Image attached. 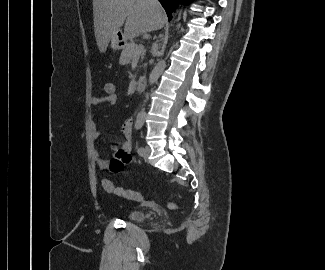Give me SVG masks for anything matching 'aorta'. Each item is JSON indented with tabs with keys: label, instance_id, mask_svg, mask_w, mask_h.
<instances>
[{
	"label": "aorta",
	"instance_id": "aorta-1",
	"mask_svg": "<svg viewBox=\"0 0 325 270\" xmlns=\"http://www.w3.org/2000/svg\"><path fill=\"white\" fill-rule=\"evenodd\" d=\"M165 65H166L165 61H163V60L159 61L157 63V65L154 67V69L151 72L150 77H149V84L150 85L154 84L158 80V78L160 77V75L164 71ZM139 117L144 118L145 117V112L144 111L140 112Z\"/></svg>",
	"mask_w": 325,
	"mask_h": 270
}]
</instances>
